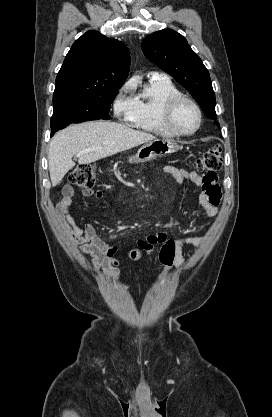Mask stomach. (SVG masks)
<instances>
[{"mask_svg": "<svg viewBox=\"0 0 272 417\" xmlns=\"http://www.w3.org/2000/svg\"><path fill=\"white\" fill-rule=\"evenodd\" d=\"M179 146L166 140L153 139L145 142L136 152L135 155L129 157L130 163H143L152 161L158 157L176 152Z\"/></svg>", "mask_w": 272, "mask_h": 417, "instance_id": "stomach-1", "label": "stomach"}]
</instances>
